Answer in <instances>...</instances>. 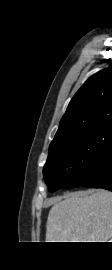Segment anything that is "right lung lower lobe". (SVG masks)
I'll return each instance as SVG.
<instances>
[{
    "mask_svg": "<svg viewBox=\"0 0 112 270\" xmlns=\"http://www.w3.org/2000/svg\"><path fill=\"white\" fill-rule=\"evenodd\" d=\"M81 185L112 191V144L92 162Z\"/></svg>",
    "mask_w": 112,
    "mask_h": 270,
    "instance_id": "1",
    "label": "right lung lower lobe"
}]
</instances>
